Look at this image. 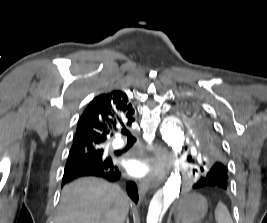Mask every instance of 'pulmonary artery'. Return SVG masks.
<instances>
[{
	"label": "pulmonary artery",
	"instance_id": "obj_1",
	"mask_svg": "<svg viewBox=\"0 0 267 223\" xmlns=\"http://www.w3.org/2000/svg\"><path fill=\"white\" fill-rule=\"evenodd\" d=\"M123 146V142L122 141H116L115 143H114V147L115 148H121Z\"/></svg>",
	"mask_w": 267,
	"mask_h": 223
}]
</instances>
